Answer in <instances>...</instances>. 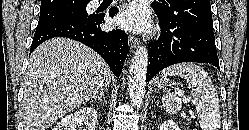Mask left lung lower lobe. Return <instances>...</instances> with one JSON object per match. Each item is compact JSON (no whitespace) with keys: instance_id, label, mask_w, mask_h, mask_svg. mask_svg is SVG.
<instances>
[{"instance_id":"1","label":"left lung lower lobe","mask_w":249,"mask_h":130,"mask_svg":"<svg viewBox=\"0 0 249 130\" xmlns=\"http://www.w3.org/2000/svg\"><path fill=\"white\" fill-rule=\"evenodd\" d=\"M159 20L162 33L157 41L149 42L146 82L162 69L181 62L208 63L220 69L213 30L174 20Z\"/></svg>"}]
</instances>
